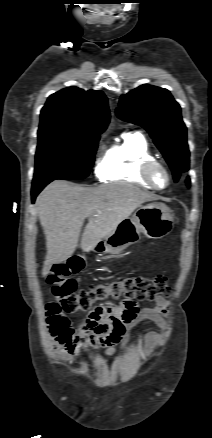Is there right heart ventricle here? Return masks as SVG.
Here are the masks:
<instances>
[{
	"label": "right heart ventricle",
	"instance_id": "right-heart-ventricle-1",
	"mask_svg": "<svg viewBox=\"0 0 212 438\" xmlns=\"http://www.w3.org/2000/svg\"><path fill=\"white\" fill-rule=\"evenodd\" d=\"M149 159L155 157L145 136L140 132L125 133L105 154L103 180L152 189L139 174L141 165Z\"/></svg>",
	"mask_w": 212,
	"mask_h": 438
}]
</instances>
